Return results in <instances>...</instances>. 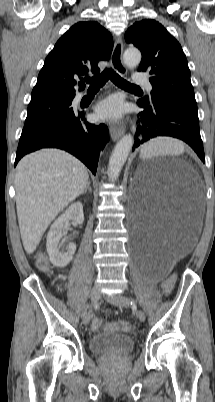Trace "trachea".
<instances>
[{"instance_id":"3493384b","label":"trachea","mask_w":215,"mask_h":402,"mask_svg":"<svg viewBox=\"0 0 215 402\" xmlns=\"http://www.w3.org/2000/svg\"><path fill=\"white\" fill-rule=\"evenodd\" d=\"M111 79V81L122 88H139L120 77L113 69H105L101 74L95 77H85L86 83L90 84V89H100L104 84Z\"/></svg>"}]
</instances>
